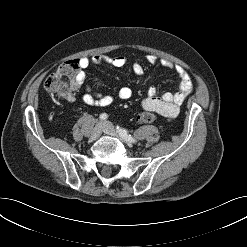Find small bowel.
<instances>
[{
  "label": "small bowel",
  "instance_id": "c3829d8e",
  "mask_svg": "<svg viewBox=\"0 0 247 247\" xmlns=\"http://www.w3.org/2000/svg\"><path fill=\"white\" fill-rule=\"evenodd\" d=\"M147 61L151 65H161L176 74L179 78V88L174 92H167L160 95L155 87H149L147 96L142 101L143 109L151 112H157L174 118L178 115L180 106L193 89L192 79L189 73L180 65L163 58H159L154 54L147 55ZM80 66L79 86L85 87L82 94V100L89 105L108 106L113 103L114 96L110 94H102L93 91L86 83V70L91 65L108 64L113 67H122L126 64L125 56H107L97 54L92 57H82L78 60ZM133 72L137 76L144 73V68L140 63L133 64ZM132 91L128 87H122L117 93V97L121 100H127L131 97ZM73 97H69V101H73Z\"/></svg>",
  "mask_w": 247,
  "mask_h": 247
}]
</instances>
